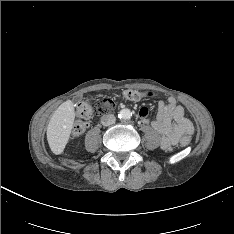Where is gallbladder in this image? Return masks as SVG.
Returning <instances> with one entry per match:
<instances>
[{"instance_id":"gallbladder-1","label":"gallbladder","mask_w":234,"mask_h":234,"mask_svg":"<svg viewBox=\"0 0 234 234\" xmlns=\"http://www.w3.org/2000/svg\"><path fill=\"white\" fill-rule=\"evenodd\" d=\"M80 100H81L80 97H77V98L75 99L76 102H79Z\"/></svg>"}]
</instances>
